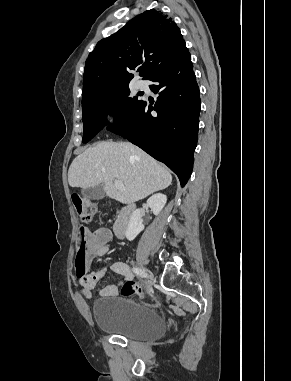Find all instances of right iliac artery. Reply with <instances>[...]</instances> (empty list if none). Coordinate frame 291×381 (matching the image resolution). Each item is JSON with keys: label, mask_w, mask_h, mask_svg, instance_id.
Returning <instances> with one entry per match:
<instances>
[{"label": "right iliac artery", "mask_w": 291, "mask_h": 381, "mask_svg": "<svg viewBox=\"0 0 291 381\" xmlns=\"http://www.w3.org/2000/svg\"><path fill=\"white\" fill-rule=\"evenodd\" d=\"M132 271H133L136 275H138V276H140V277L148 278L147 274H146L143 270H141L140 268H136V267H134V268L132 269Z\"/></svg>", "instance_id": "82829eb1"}]
</instances>
